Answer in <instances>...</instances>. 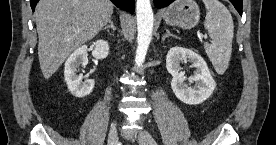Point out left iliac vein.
<instances>
[{"label":"left iliac vein","instance_id":"left-iliac-vein-1","mask_svg":"<svg viewBox=\"0 0 276 145\" xmlns=\"http://www.w3.org/2000/svg\"><path fill=\"white\" fill-rule=\"evenodd\" d=\"M138 142L141 145H157L154 137L146 130H141L138 135Z\"/></svg>","mask_w":276,"mask_h":145}]
</instances>
